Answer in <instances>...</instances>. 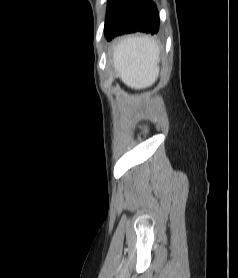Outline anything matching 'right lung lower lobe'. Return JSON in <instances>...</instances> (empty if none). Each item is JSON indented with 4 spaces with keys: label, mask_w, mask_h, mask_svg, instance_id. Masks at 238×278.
<instances>
[{
    "label": "right lung lower lobe",
    "mask_w": 238,
    "mask_h": 278,
    "mask_svg": "<svg viewBox=\"0 0 238 278\" xmlns=\"http://www.w3.org/2000/svg\"><path fill=\"white\" fill-rule=\"evenodd\" d=\"M159 15L152 0H108L105 20L107 40L130 32L157 33Z\"/></svg>",
    "instance_id": "1"
}]
</instances>
